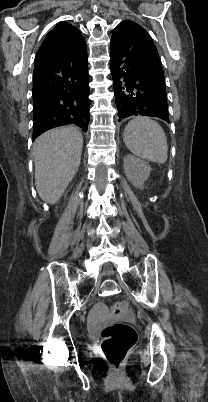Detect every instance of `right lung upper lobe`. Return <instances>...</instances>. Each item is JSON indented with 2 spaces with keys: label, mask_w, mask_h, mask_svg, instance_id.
I'll return each instance as SVG.
<instances>
[{
  "label": "right lung upper lobe",
  "mask_w": 208,
  "mask_h": 402,
  "mask_svg": "<svg viewBox=\"0 0 208 402\" xmlns=\"http://www.w3.org/2000/svg\"><path fill=\"white\" fill-rule=\"evenodd\" d=\"M80 37L82 34L79 30L66 22H61L47 34L36 57L64 50L73 45Z\"/></svg>",
  "instance_id": "obj_1"
}]
</instances>
